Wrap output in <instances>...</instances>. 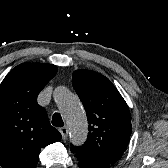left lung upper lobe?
<instances>
[{"label": "left lung upper lobe", "instance_id": "5c2ea615", "mask_svg": "<svg viewBox=\"0 0 168 168\" xmlns=\"http://www.w3.org/2000/svg\"><path fill=\"white\" fill-rule=\"evenodd\" d=\"M72 85L86 110L88 138L74 147L114 165L128 146L131 134L129 108L111 81L100 73L79 69L72 75Z\"/></svg>", "mask_w": 168, "mask_h": 168}]
</instances>
